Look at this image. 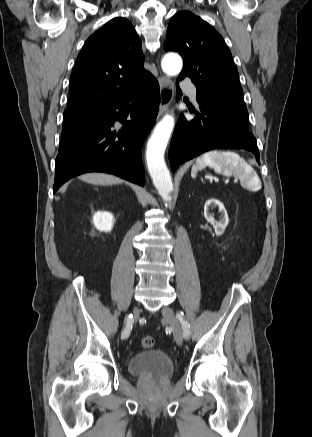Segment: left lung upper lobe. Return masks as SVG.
Returning <instances> with one entry per match:
<instances>
[{
    "label": "left lung upper lobe",
    "mask_w": 312,
    "mask_h": 437,
    "mask_svg": "<svg viewBox=\"0 0 312 437\" xmlns=\"http://www.w3.org/2000/svg\"><path fill=\"white\" fill-rule=\"evenodd\" d=\"M166 51L181 54L184 67L179 79L190 77L198 102L215 105L249 131L248 111L238 71L222 36L189 11L176 13L169 22Z\"/></svg>",
    "instance_id": "obj_1"
}]
</instances>
